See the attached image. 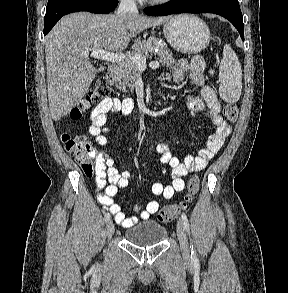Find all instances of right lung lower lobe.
Masks as SVG:
<instances>
[{
	"label": "right lung lower lobe",
	"mask_w": 288,
	"mask_h": 293,
	"mask_svg": "<svg viewBox=\"0 0 288 293\" xmlns=\"http://www.w3.org/2000/svg\"><path fill=\"white\" fill-rule=\"evenodd\" d=\"M118 5V0H67L46 9L44 35H46L57 21L64 15L78 12L89 11L91 13H110Z\"/></svg>",
	"instance_id": "98d812e1"
}]
</instances>
